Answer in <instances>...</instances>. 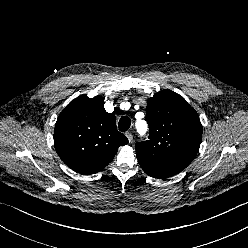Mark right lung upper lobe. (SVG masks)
<instances>
[{"label":"right lung upper lobe","instance_id":"obj_1","mask_svg":"<svg viewBox=\"0 0 248 248\" xmlns=\"http://www.w3.org/2000/svg\"><path fill=\"white\" fill-rule=\"evenodd\" d=\"M128 139L116 129L115 116L104 109L101 96L74 99L61 112L54 131V145L63 162L83 175L105 168L119 146Z\"/></svg>","mask_w":248,"mask_h":248}]
</instances>
